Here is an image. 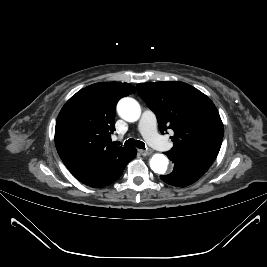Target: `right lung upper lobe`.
<instances>
[{
    "label": "right lung upper lobe",
    "mask_w": 267,
    "mask_h": 267,
    "mask_svg": "<svg viewBox=\"0 0 267 267\" xmlns=\"http://www.w3.org/2000/svg\"><path fill=\"white\" fill-rule=\"evenodd\" d=\"M135 93L128 83L92 84L73 95L61 109L55 127V145L69 171L83 184L126 157L132 148L111 142L116 104Z\"/></svg>",
    "instance_id": "cb5924a9"
}]
</instances>
